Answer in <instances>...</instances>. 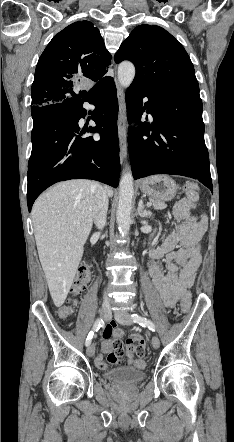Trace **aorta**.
Wrapping results in <instances>:
<instances>
[{
	"label": "aorta",
	"mask_w": 234,
	"mask_h": 442,
	"mask_svg": "<svg viewBox=\"0 0 234 442\" xmlns=\"http://www.w3.org/2000/svg\"><path fill=\"white\" fill-rule=\"evenodd\" d=\"M135 77V67L131 62H122L118 66V80L124 88H128ZM133 176L127 170L121 177L119 184V202L117 208V224L122 235H127L130 229L131 208L133 198Z\"/></svg>",
	"instance_id": "1"
}]
</instances>
